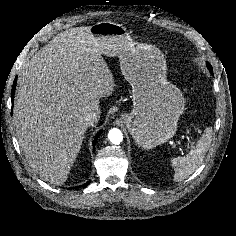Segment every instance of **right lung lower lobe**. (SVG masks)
Wrapping results in <instances>:
<instances>
[{"label": "right lung lower lobe", "instance_id": "obj_1", "mask_svg": "<svg viewBox=\"0 0 236 236\" xmlns=\"http://www.w3.org/2000/svg\"><path fill=\"white\" fill-rule=\"evenodd\" d=\"M16 81L17 78H15L14 82H13V86H12V91H11V99H12V104H13V100H14V94H15V88H16ZM102 133V131H100L96 136L95 139L93 141V145L95 146L96 141L98 139V137L100 136V134ZM89 184V181L87 183H85L83 186L86 187ZM80 187V186H79Z\"/></svg>", "mask_w": 236, "mask_h": 236}]
</instances>
